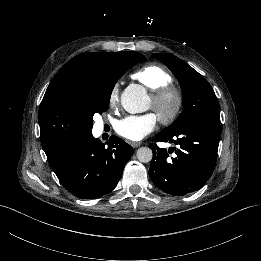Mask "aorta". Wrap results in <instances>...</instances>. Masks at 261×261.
<instances>
[{"mask_svg": "<svg viewBox=\"0 0 261 261\" xmlns=\"http://www.w3.org/2000/svg\"><path fill=\"white\" fill-rule=\"evenodd\" d=\"M149 98L144 90L127 87L121 94V103L130 113H142L149 109ZM137 159L142 163L152 160L153 152L149 147H140L136 151Z\"/></svg>", "mask_w": 261, "mask_h": 261, "instance_id": "1", "label": "aorta"}]
</instances>
